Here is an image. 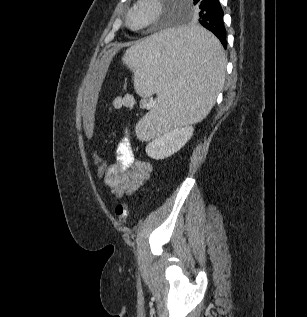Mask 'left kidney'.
<instances>
[{
  "label": "left kidney",
  "instance_id": "left-kidney-1",
  "mask_svg": "<svg viewBox=\"0 0 307 317\" xmlns=\"http://www.w3.org/2000/svg\"><path fill=\"white\" fill-rule=\"evenodd\" d=\"M193 132L192 126H177L149 142L146 153L156 160L167 158L179 151L191 138Z\"/></svg>",
  "mask_w": 307,
  "mask_h": 317
}]
</instances>
